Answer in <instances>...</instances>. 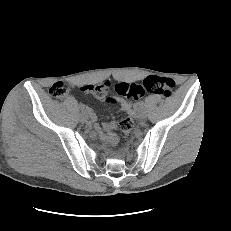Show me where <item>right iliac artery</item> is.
I'll list each match as a JSON object with an SVG mask.
<instances>
[{"instance_id": "1", "label": "right iliac artery", "mask_w": 231, "mask_h": 231, "mask_svg": "<svg viewBox=\"0 0 231 231\" xmlns=\"http://www.w3.org/2000/svg\"><path fill=\"white\" fill-rule=\"evenodd\" d=\"M79 108H80L82 111H86V107H85V105H83V104H80V105H79Z\"/></svg>"}]
</instances>
